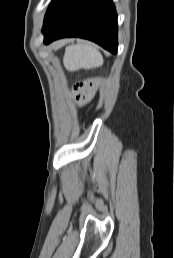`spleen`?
<instances>
[{"label": "spleen", "instance_id": "1", "mask_svg": "<svg viewBox=\"0 0 174 258\" xmlns=\"http://www.w3.org/2000/svg\"><path fill=\"white\" fill-rule=\"evenodd\" d=\"M64 64L69 70L90 69L103 64V57L96 46L84 42L66 47Z\"/></svg>", "mask_w": 174, "mask_h": 258}]
</instances>
